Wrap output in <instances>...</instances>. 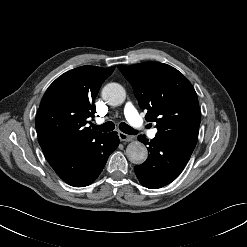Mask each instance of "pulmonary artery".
Listing matches in <instances>:
<instances>
[{
  "label": "pulmonary artery",
  "instance_id": "e3ab8cb5",
  "mask_svg": "<svg viewBox=\"0 0 247 247\" xmlns=\"http://www.w3.org/2000/svg\"><path fill=\"white\" fill-rule=\"evenodd\" d=\"M124 115L127 119V121L136 129L139 131H145L149 138H154L157 134V129H147L145 127L144 120L139 115L138 111L136 110L133 103L128 102L125 104L124 107Z\"/></svg>",
  "mask_w": 247,
  "mask_h": 247
}]
</instances>
